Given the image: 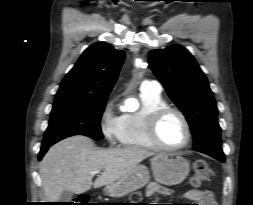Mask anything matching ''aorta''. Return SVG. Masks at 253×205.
<instances>
[{
    "instance_id": "1",
    "label": "aorta",
    "mask_w": 253,
    "mask_h": 205,
    "mask_svg": "<svg viewBox=\"0 0 253 205\" xmlns=\"http://www.w3.org/2000/svg\"><path fill=\"white\" fill-rule=\"evenodd\" d=\"M140 65L142 66V63L138 61L137 62V66H140Z\"/></svg>"
}]
</instances>
